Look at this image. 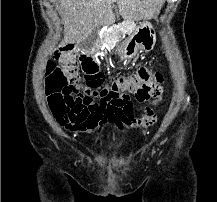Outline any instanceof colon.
<instances>
[{
  "label": "colon",
  "instance_id": "5ec220e1",
  "mask_svg": "<svg viewBox=\"0 0 217 202\" xmlns=\"http://www.w3.org/2000/svg\"><path fill=\"white\" fill-rule=\"evenodd\" d=\"M51 64L45 73L46 102L51 107L50 116L58 117L59 124L69 130L85 131L96 126H112L116 131L143 128L154 123L156 116L136 118L131 112V97L134 94L140 105L157 102L163 95V76L150 74L146 69H135L133 75L121 78L100 91L83 89L74 78H81L77 55L78 47H54ZM58 60V63H52ZM97 98V101L95 99Z\"/></svg>",
  "mask_w": 217,
  "mask_h": 202
}]
</instances>
